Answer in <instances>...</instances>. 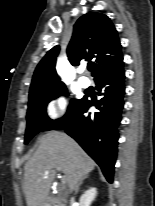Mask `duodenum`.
<instances>
[{"mask_svg":"<svg viewBox=\"0 0 155 206\" xmlns=\"http://www.w3.org/2000/svg\"><path fill=\"white\" fill-rule=\"evenodd\" d=\"M47 205L46 206H64L60 201H58L55 197L47 198Z\"/></svg>","mask_w":155,"mask_h":206,"instance_id":"410a0bca","label":"duodenum"}]
</instances>
